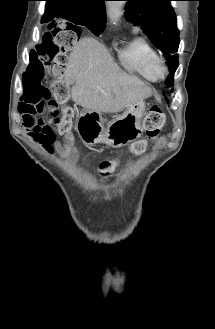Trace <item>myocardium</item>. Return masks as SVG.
Listing matches in <instances>:
<instances>
[{
	"mask_svg": "<svg viewBox=\"0 0 215 329\" xmlns=\"http://www.w3.org/2000/svg\"><path fill=\"white\" fill-rule=\"evenodd\" d=\"M165 72H166V68L161 62V73L164 74Z\"/></svg>",
	"mask_w": 215,
	"mask_h": 329,
	"instance_id": "obj_1",
	"label": "myocardium"
}]
</instances>
